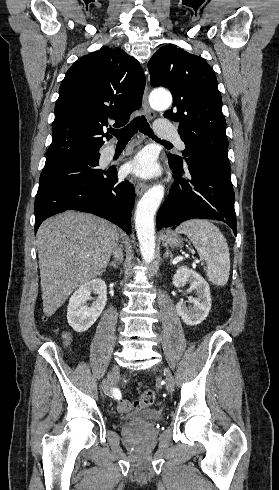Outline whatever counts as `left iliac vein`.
<instances>
[{
    "label": "left iliac vein",
    "instance_id": "left-iliac-vein-1",
    "mask_svg": "<svg viewBox=\"0 0 279 490\" xmlns=\"http://www.w3.org/2000/svg\"><path fill=\"white\" fill-rule=\"evenodd\" d=\"M163 374L165 376V381L167 383V390L169 392H173V390H174V377H173V375L168 370H164Z\"/></svg>",
    "mask_w": 279,
    "mask_h": 490
}]
</instances>
